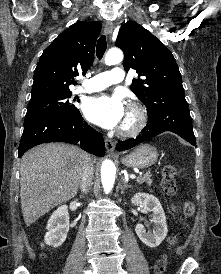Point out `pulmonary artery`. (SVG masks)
<instances>
[{
	"label": "pulmonary artery",
	"mask_w": 221,
	"mask_h": 274,
	"mask_svg": "<svg viewBox=\"0 0 221 274\" xmlns=\"http://www.w3.org/2000/svg\"><path fill=\"white\" fill-rule=\"evenodd\" d=\"M124 79V72L121 68H113L110 71L99 73L88 79L78 92L92 93L103 90L113 84L120 83Z\"/></svg>",
	"instance_id": "e3ab8cb5"
}]
</instances>
